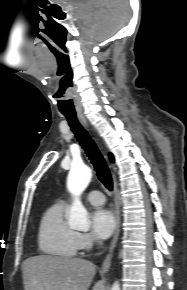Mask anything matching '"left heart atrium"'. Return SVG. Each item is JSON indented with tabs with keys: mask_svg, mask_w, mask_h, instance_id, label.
<instances>
[{
	"mask_svg": "<svg viewBox=\"0 0 187 290\" xmlns=\"http://www.w3.org/2000/svg\"><path fill=\"white\" fill-rule=\"evenodd\" d=\"M116 227L114 214L107 209H96L91 215L92 233L100 238H108Z\"/></svg>",
	"mask_w": 187,
	"mask_h": 290,
	"instance_id": "left-heart-atrium-1",
	"label": "left heart atrium"
}]
</instances>
